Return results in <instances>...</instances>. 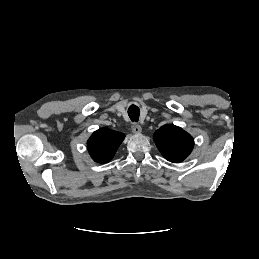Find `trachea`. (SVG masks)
Masks as SVG:
<instances>
[{"label": "trachea", "mask_w": 259, "mask_h": 259, "mask_svg": "<svg viewBox=\"0 0 259 259\" xmlns=\"http://www.w3.org/2000/svg\"><path fill=\"white\" fill-rule=\"evenodd\" d=\"M128 115L133 122H138L140 116V109L136 105H131L128 108Z\"/></svg>", "instance_id": "trachea-1"}]
</instances>
